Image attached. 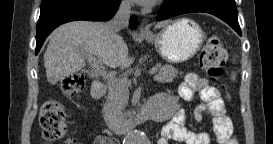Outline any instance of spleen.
<instances>
[{"label": "spleen", "instance_id": "spleen-1", "mask_svg": "<svg viewBox=\"0 0 273 144\" xmlns=\"http://www.w3.org/2000/svg\"><path fill=\"white\" fill-rule=\"evenodd\" d=\"M231 77H232V80H235L236 74L232 73Z\"/></svg>", "mask_w": 273, "mask_h": 144}]
</instances>
